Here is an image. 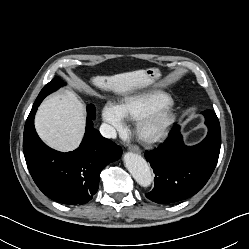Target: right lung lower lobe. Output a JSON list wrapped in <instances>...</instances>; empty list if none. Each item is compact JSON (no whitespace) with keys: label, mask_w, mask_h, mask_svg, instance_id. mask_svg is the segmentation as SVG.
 <instances>
[{"label":"right lung lower lobe","mask_w":249,"mask_h":249,"mask_svg":"<svg viewBox=\"0 0 249 249\" xmlns=\"http://www.w3.org/2000/svg\"><path fill=\"white\" fill-rule=\"evenodd\" d=\"M42 100L36 99L24 128L23 151L29 172L47 197L69 205L87 203L97 192L102 169L119 159L122 149L102 137L89 117L78 149L67 153L51 149L34 127V116Z\"/></svg>","instance_id":"98d812e1"}]
</instances>
